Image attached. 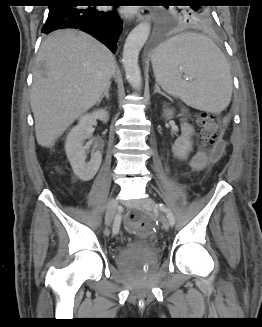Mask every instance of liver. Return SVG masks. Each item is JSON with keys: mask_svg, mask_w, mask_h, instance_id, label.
Here are the masks:
<instances>
[{"mask_svg": "<svg viewBox=\"0 0 262 327\" xmlns=\"http://www.w3.org/2000/svg\"><path fill=\"white\" fill-rule=\"evenodd\" d=\"M111 51L78 30H59L45 39L36 58L30 105L39 145L51 147L101 98L115 73Z\"/></svg>", "mask_w": 262, "mask_h": 327, "instance_id": "liver-1", "label": "liver"}]
</instances>
